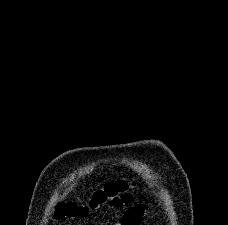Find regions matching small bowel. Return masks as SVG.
Returning <instances> with one entry per match:
<instances>
[{"label": "small bowel", "mask_w": 228, "mask_h": 225, "mask_svg": "<svg viewBox=\"0 0 228 225\" xmlns=\"http://www.w3.org/2000/svg\"><path fill=\"white\" fill-rule=\"evenodd\" d=\"M144 208V204H139L138 207L129 209L125 213L121 225H140V221L138 222V219L143 218V213L141 212H144Z\"/></svg>", "instance_id": "1"}]
</instances>
